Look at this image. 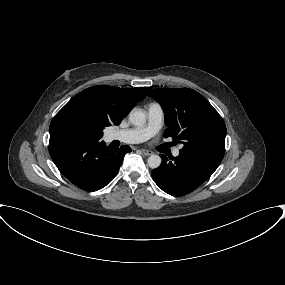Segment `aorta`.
Listing matches in <instances>:
<instances>
[{
  "label": "aorta",
  "instance_id": "762f6f07",
  "mask_svg": "<svg viewBox=\"0 0 285 285\" xmlns=\"http://www.w3.org/2000/svg\"><path fill=\"white\" fill-rule=\"evenodd\" d=\"M129 121L134 126H143L146 122V115L141 109H133L129 114ZM162 159L159 155H151L148 158V166L151 169L160 167Z\"/></svg>",
  "mask_w": 285,
  "mask_h": 285
}]
</instances>
